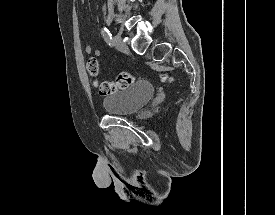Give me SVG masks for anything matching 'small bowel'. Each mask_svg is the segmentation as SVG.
I'll return each instance as SVG.
<instances>
[{"label": "small bowel", "mask_w": 275, "mask_h": 215, "mask_svg": "<svg viewBox=\"0 0 275 215\" xmlns=\"http://www.w3.org/2000/svg\"><path fill=\"white\" fill-rule=\"evenodd\" d=\"M83 51L86 54H91L93 52L95 56L100 55V51L98 49H93V47L90 44H84Z\"/></svg>", "instance_id": "1"}]
</instances>
